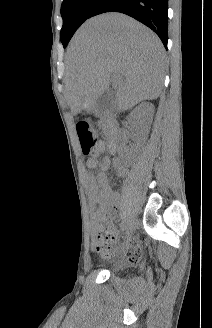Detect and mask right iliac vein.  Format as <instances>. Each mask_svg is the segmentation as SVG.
<instances>
[{
	"label": "right iliac vein",
	"instance_id": "1",
	"mask_svg": "<svg viewBox=\"0 0 212 328\" xmlns=\"http://www.w3.org/2000/svg\"><path fill=\"white\" fill-rule=\"evenodd\" d=\"M135 228H136V222L135 220H131L126 229V236L130 237L135 231Z\"/></svg>",
	"mask_w": 212,
	"mask_h": 328
}]
</instances>
